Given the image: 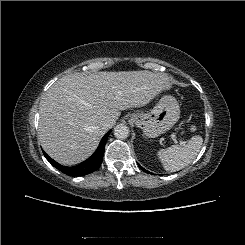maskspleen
Returning <instances> with one entry per match:
<instances>
[{
  "label": "spleen",
  "mask_w": 245,
  "mask_h": 245,
  "mask_svg": "<svg viewBox=\"0 0 245 245\" xmlns=\"http://www.w3.org/2000/svg\"><path fill=\"white\" fill-rule=\"evenodd\" d=\"M203 143L200 135L192 136L185 146L172 145L157 152L166 171H179L189 165L198 155Z\"/></svg>",
  "instance_id": "obj_1"
}]
</instances>
